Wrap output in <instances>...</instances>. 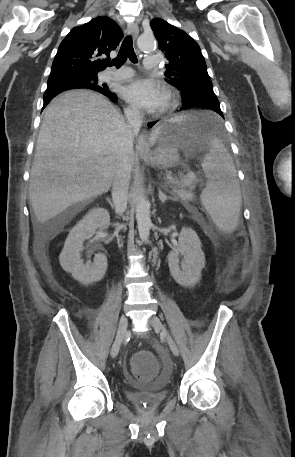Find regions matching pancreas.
Masks as SVG:
<instances>
[{
    "instance_id": "obj_1",
    "label": "pancreas",
    "mask_w": 295,
    "mask_h": 457,
    "mask_svg": "<svg viewBox=\"0 0 295 457\" xmlns=\"http://www.w3.org/2000/svg\"><path fill=\"white\" fill-rule=\"evenodd\" d=\"M195 188V182L184 183L182 180V185L179 187H173V194L175 195V199L178 197L183 200V202H187L193 200L194 195L192 193L193 189Z\"/></svg>"
}]
</instances>
